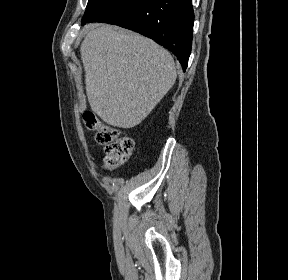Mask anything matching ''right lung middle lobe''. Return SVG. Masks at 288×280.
<instances>
[{"label": "right lung middle lobe", "mask_w": 288, "mask_h": 280, "mask_svg": "<svg viewBox=\"0 0 288 280\" xmlns=\"http://www.w3.org/2000/svg\"><path fill=\"white\" fill-rule=\"evenodd\" d=\"M114 0H89L85 14L82 21L91 18L99 9L106 6L107 4L113 2Z\"/></svg>", "instance_id": "obj_1"}]
</instances>
